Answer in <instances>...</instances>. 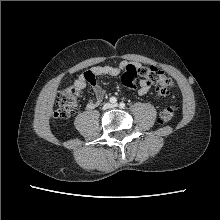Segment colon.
Wrapping results in <instances>:
<instances>
[{
  "mask_svg": "<svg viewBox=\"0 0 220 220\" xmlns=\"http://www.w3.org/2000/svg\"><path fill=\"white\" fill-rule=\"evenodd\" d=\"M138 78H143L154 85L160 96H167L170 92L172 86L171 78L155 66L137 67L133 64L126 65L121 76L122 83L128 88H134ZM79 96L80 88L77 86L63 89L58 95L56 116L59 118L68 117L72 113ZM174 115L175 108L166 107L160 113V121L163 123L169 122Z\"/></svg>",
  "mask_w": 220,
  "mask_h": 220,
  "instance_id": "1",
  "label": "colon"
}]
</instances>
